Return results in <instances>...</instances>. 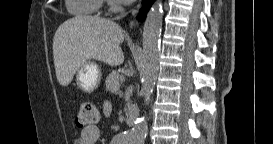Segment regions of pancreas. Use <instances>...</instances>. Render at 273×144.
<instances>
[{"label": "pancreas", "mask_w": 273, "mask_h": 144, "mask_svg": "<svg viewBox=\"0 0 273 144\" xmlns=\"http://www.w3.org/2000/svg\"><path fill=\"white\" fill-rule=\"evenodd\" d=\"M121 75L117 71H112L105 80L106 90L116 92L119 89Z\"/></svg>", "instance_id": "obj_1"}]
</instances>
